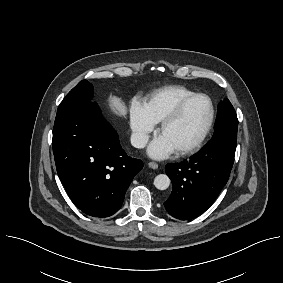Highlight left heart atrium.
<instances>
[{"label":"left heart atrium","instance_id":"1","mask_svg":"<svg viewBox=\"0 0 283 283\" xmlns=\"http://www.w3.org/2000/svg\"><path fill=\"white\" fill-rule=\"evenodd\" d=\"M175 152L173 146L164 138L158 136L148 147V154L155 159L168 158Z\"/></svg>","mask_w":283,"mask_h":283}]
</instances>
